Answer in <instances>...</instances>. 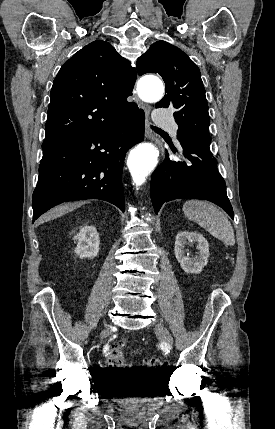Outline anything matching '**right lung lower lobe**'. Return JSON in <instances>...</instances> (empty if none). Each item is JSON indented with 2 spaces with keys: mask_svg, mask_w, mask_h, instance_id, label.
<instances>
[{
  "mask_svg": "<svg viewBox=\"0 0 275 429\" xmlns=\"http://www.w3.org/2000/svg\"><path fill=\"white\" fill-rule=\"evenodd\" d=\"M143 110L121 122L43 150L33 192V221L57 204L101 199L125 211L122 170L127 151L144 137Z\"/></svg>",
  "mask_w": 275,
  "mask_h": 429,
  "instance_id": "98d812e1",
  "label": "right lung lower lobe"
}]
</instances>
